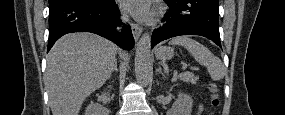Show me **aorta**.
<instances>
[{"label": "aorta", "instance_id": "aorta-1", "mask_svg": "<svg viewBox=\"0 0 285 115\" xmlns=\"http://www.w3.org/2000/svg\"><path fill=\"white\" fill-rule=\"evenodd\" d=\"M135 75L139 84L148 85L151 78V36L149 33H144L137 44Z\"/></svg>", "mask_w": 285, "mask_h": 115}]
</instances>
